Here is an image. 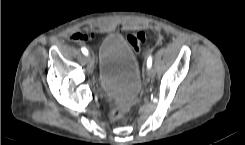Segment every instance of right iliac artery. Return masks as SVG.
Here are the masks:
<instances>
[{"label": "right iliac artery", "instance_id": "obj_1", "mask_svg": "<svg viewBox=\"0 0 245 145\" xmlns=\"http://www.w3.org/2000/svg\"><path fill=\"white\" fill-rule=\"evenodd\" d=\"M81 50L84 55H88V50L86 48L83 47Z\"/></svg>", "mask_w": 245, "mask_h": 145}]
</instances>
